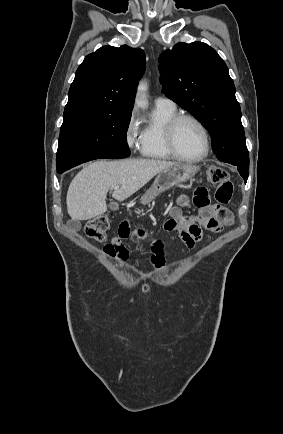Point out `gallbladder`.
<instances>
[{
    "label": "gallbladder",
    "mask_w": 283,
    "mask_h": 434,
    "mask_svg": "<svg viewBox=\"0 0 283 434\" xmlns=\"http://www.w3.org/2000/svg\"><path fill=\"white\" fill-rule=\"evenodd\" d=\"M68 225L75 230H79L81 228V223L79 221H70Z\"/></svg>",
    "instance_id": "bac80fb5"
}]
</instances>
